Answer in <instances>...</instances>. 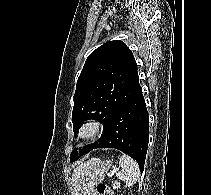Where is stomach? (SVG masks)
Masks as SVG:
<instances>
[{"instance_id":"obj_1","label":"stomach","mask_w":211,"mask_h":195,"mask_svg":"<svg viewBox=\"0 0 211 195\" xmlns=\"http://www.w3.org/2000/svg\"><path fill=\"white\" fill-rule=\"evenodd\" d=\"M109 169L108 160L103 161L99 158H93V160L87 164L79 195H94L92 193L94 186L104 179L105 173H107Z\"/></svg>"}]
</instances>
